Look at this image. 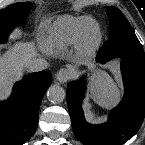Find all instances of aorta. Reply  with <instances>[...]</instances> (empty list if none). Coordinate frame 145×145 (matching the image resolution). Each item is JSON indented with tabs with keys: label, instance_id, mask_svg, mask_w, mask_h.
Returning <instances> with one entry per match:
<instances>
[{
	"label": "aorta",
	"instance_id": "1",
	"mask_svg": "<svg viewBox=\"0 0 145 145\" xmlns=\"http://www.w3.org/2000/svg\"><path fill=\"white\" fill-rule=\"evenodd\" d=\"M65 97V90L59 85H52L47 91V99L53 104L61 103Z\"/></svg>",
	"mask_w": 145,
	"mask_h": 145
}]
</instances>
